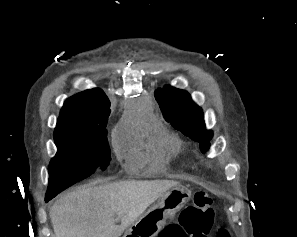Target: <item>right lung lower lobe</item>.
<instances>
[{"mask_svg": "<svg viewBox=\"0 0 297 237\" xmlns=\"http://www.w3.org/2000/svg\"><path fill=\"white\" fill-rule=\"evenodd\" d=\"M53 197H46L45 196V201L48 202L49 200H51Z\"/></svg>", "mask_w": 297, "mask_h": 237, "instance_id": "right-lung-lower-lobe-1", "label": "right lung lower lobe"}]
</instances>
